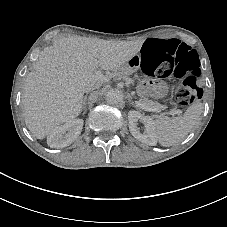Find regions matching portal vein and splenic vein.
<instances>
[{
  "label": "portal vein and splenic vein",
  "instance_id": "obj_1",
  "mask_svg": "<svg viewBox=\"0 0 227 227\" xmlns=\"http://www.w3.org/2000/svg\"><path fill=\"white\" fill-rule=\"evenodd\" d=\"M137 103H140V100H137ZM139 107L141 109L145 110V111H148V112H158V113H160V110L157 107H154V106H146V105L140 103ZM161 115H166V112H161ZM167 115L181 116L182 115V111L167 112Z\"/></svg>",
  "mask_w": 227,
  "mask_h": 227
}]
</instances>
